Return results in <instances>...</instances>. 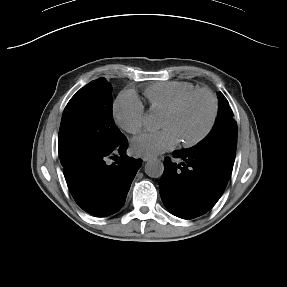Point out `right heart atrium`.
<instances>
[{"label":"right heart atrium","instance_id":"obj_1","mask_svg":"<svg viewBox=\"0 0 287 287\" xmlns=\"http://www.w3.org/2000/svg\"><path fill=\"white\" fill-rule=\"evenodd\" d=\"M113 113L119 125L131 134L139 133L145 126L144 106L132 91L122 93L116 99Z\"/></svg>","mask_w":287,"mask_h":287}]
</instances>
